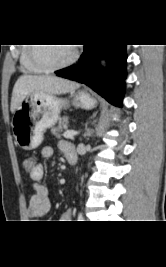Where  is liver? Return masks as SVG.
I'll return each instance as SVG.
<instances>
[{"mask_svg": "<svg viewBox=\"0 0 166 267\" xmlns=\"http://www.w3.org/2000/svg\"><path fill=\"white\" fill-rule=\"evenodd\" d=\"M79 84L50 75H22L16 81L10 110L12 113L21 105L22 101L32 94L61 95L79 88Z\"/></svg>", "mask_w": 166, "mask_h": 267, "instance_id": "6515ba94", "label": "liver"}]
</instances>
